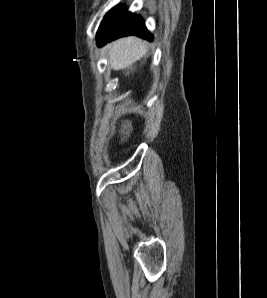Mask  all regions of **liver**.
Masks as SVG:
<instances>
[{
	"label": "liver",
	"mask_w": 267,
	"mask_h": 298,
	"mask_svg": "<svg viewBox=\"0 0 267 298\" xmlns=\"http://www.w3.org/2000/svg\"><path fill=\"white\" fill-rule=\"evenodd\" d=\"M147 53V43L134 36L121 38L108 46L109 64L113 70L129 67Z\"/></svg>",
	"instance_id": "liver-1"
}]
</instances>
